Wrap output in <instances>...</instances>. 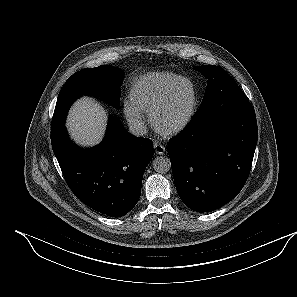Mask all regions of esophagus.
I'll return each instance as SVG.
<instances>
[{
	"label": "esophagus",
	"mask_w": 297,
	"mask_h": 297,
	"mask_svg": "<svg viewBox=\"0 0 297 297\" xmlns=\"http://www.w3.org/2000/svg\"><path fill=\"white\" fill-rule=\"evenodd\" d=\"M154 150H155V153L158 154V155H164L165 154V147L158 143V142H155L154 143Z\"/></svg>",
	"instance_id": "34e87169"
}]
</instances>
